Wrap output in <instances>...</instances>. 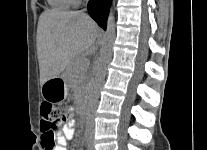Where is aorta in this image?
I'll return each mask as SVG.
<instances>
[{
	"label": "aorta",
	"instance_id": "762f6f07",
	"mask_svg": "<svg viewBox=\"0 0 207 150\" xmlns=\"http://www.w3.org/2000/svg\"><path fill=\"white\" fill-rule=\"evenodd\" d=\"M114 39H115V18H114L113 10L111 8L107 20V29L103 38V45L100 52V58L96 66L95 75L91 85L90 96H89L91 108L95 107V105L98 102L99 94L104 84L107 64L112 56Z\"/></svg>",
	"mask_w": 207,
	"mask_h": 150
}]
</instances>
